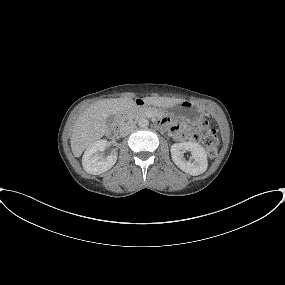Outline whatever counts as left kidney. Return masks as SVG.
I'll return each instance as SVG.
<instances>
[{"mask_svg": "<svg viewBox=\"0 0 285 285\" xmlns=\"http://www.w3.org/2000/svg\"><path fill=\"white\" fill-rule=\"evenodd\" d=\"M170 151L173 162L182 171L197 176L207 170V154L200 144L196 142L175 143L171 146ZM185 151L191 152L193 161L185 160L183 155Z\"/></svg>", "mask_w": 285, "mask_h": 285, "instance_id": "obj_1", "label": "left kidney"}]
</instances>
